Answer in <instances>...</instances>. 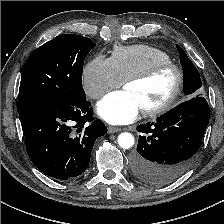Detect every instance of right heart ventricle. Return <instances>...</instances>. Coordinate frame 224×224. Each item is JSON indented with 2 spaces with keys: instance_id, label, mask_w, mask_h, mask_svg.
<instances>
[{
  "instance_id": "1",
  "label": "right heart ventricle",
  "mask_w": 224,
  "mask_h": 224,
  "mask_svg": "<svg viewBox=\"0 0 224 224\" xmlns=\"http://www.w3.org/2000/svg\"><path fill=\"white\" fill-rule=\"evenodd\" d=\"M110 59L122 81L155 63L171 62L170 55L165 51L143 44L116 46Z\"/></svg>"
}]
</instances>
